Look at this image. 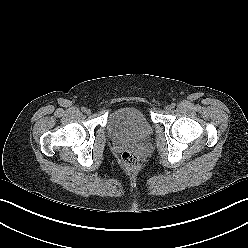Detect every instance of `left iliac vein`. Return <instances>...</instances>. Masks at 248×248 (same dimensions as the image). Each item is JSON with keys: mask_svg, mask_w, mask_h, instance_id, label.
I'll return each instance as SVG.
<instances>
[{"mask_svg": "<svg viewBox=\"0 0 248 248\" xmlns=\"http://www.w3.org/2000/svg\"><path fill=\"white\" fill-rule=\"evenodd\" d=\"M171 109H172L171 105H166V106H165V110H166V111L169 112V111H171Z\"/></svg>", "mask_w": 248, "mask_h": 248, "instance_id": "1", "label": "left iliac vein"}]
</instances>
